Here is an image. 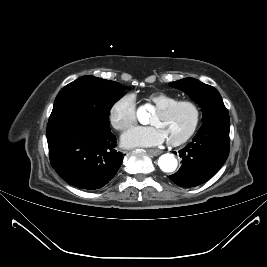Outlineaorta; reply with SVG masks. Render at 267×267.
Returning <instances> with one entry per match:
<instances>
[{"label": "aorta", "mask_w": 267, "mask_h": 267, "mask_svg": "<svg viewBox=\"0 0 267 267\" xmlns=\"http://www.w3.org/2000/svg\"><path fill=\"white\" fill-rule=\"evenodd\" d=\"M146 114V108L140 107L137 111V117L140 121H142V118ZM178 165L177 159L174 157L173 154H163L158 159V166L163 172H173L176 170Z\"/></svg>", "instance_id": "762f6f07"}]
</instances>
